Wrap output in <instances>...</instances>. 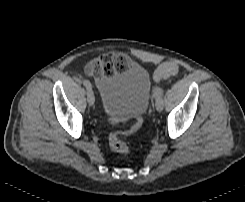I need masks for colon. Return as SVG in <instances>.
<instances>
[{
    "mask_svg": "<svg viewBox=\"0 0 245 202\" xmlns=\"http://www.w3.org/2000/svg\"><path fill=\"white\" fill-rule=\"evenodd\" d=\"M128 66V58L123 54L107 55L94 59L88 63L90 74L102 72L104 74L112 75L115 72L125 71ZM178 62L170 61L160 66L156 71V76L159 80H163L168 76L174 75L178 72ZM142 124L140 116L135 117V124L126 130L114 131L109 136L110 148L121 154L129 151V146L125 138L135 132Z\"/></svg>",
    "mask_w": 245,
    "mask_h": 202,
    "instance_id": "1",
    "label": "colon"
}]
</instances>
